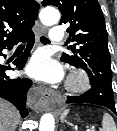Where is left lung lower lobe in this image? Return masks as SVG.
Here are the masks:
<instances>
[{
	"label": "left lung lower lobe",
	"mask_w": 117,
	"mask_h": 131,
	"mask_svg": "<svg viewBox=\"0 0 117 131\" xmlns=\"http://www.w3.org/2000/svg\"><path fill=\"white\" fill-rule=\"evenodd\" d=\"M91 89L81 96H68L66 103H90L105 106L116 115L113 92L109 88H104L91 82Z\"/></svg>",
	"instance_id": "0a47b994"
}]
</instances>
